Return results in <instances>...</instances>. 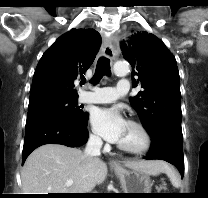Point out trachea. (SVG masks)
<instances>
[{
    "mask_svg": "<svg viewBox=\"0 0 208 198\" xmlns=\"http://www.w3.org/2000/svg\"><path fill=\"white\" fill-rule=\"evenodd\" d=\"M110 60L106 57L99 58L95 74L92 79L93 84H97L104 75L110 76Z\"/></svg>",
    "mask_w": 208,
    "mask_h": 198,
    "instance_id": "1",
    "label": "trachea"
}]
</instances>
